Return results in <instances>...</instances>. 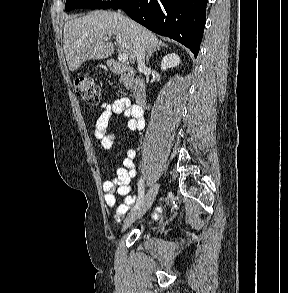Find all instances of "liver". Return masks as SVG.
Masks as SVG:
<instances>
[{"label": "liver", "instance_id": "6515ba94", "mask_svg": "<svg viewBox=\"0 0 288 293\" xmlns=\"http://www.w3.org/2000/svg\"><path fill=\"white\" fill-rule=\"evenodd\" d=\"M112 36L131 63L137 59V38L145 54L160 47L154 33L121 13L94 11L70 18L64 25L63 49L69 70H77L87 60L110 57L114 52V44L109 42Z\"/></svg>", "mask_w": 288, "mask_h": 293}]
</instances>
